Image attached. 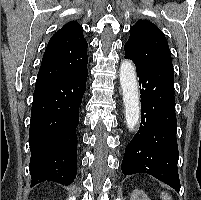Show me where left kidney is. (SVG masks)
I'll list each match as a JSON object with an SVG mask.
<instances>
[{
  "instance_id": "5707ae66",
  "label": "left kidney",
  "mask_w": 201,
  "mask_h": 200,
  "mask_svg": "<svg viewBox=\"0 0 201 200\" xmlns=\"http://www.w3.org/2000/svg\"><path fill=\"white\" fill-rule=\"evenodd\" d=\"M130 200H151L147 195L144 193V191L140 189H135L131 193V198Z\"/></svg>"
}]
</instances>
